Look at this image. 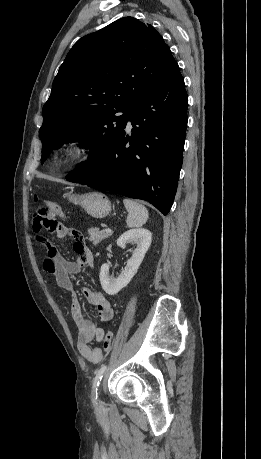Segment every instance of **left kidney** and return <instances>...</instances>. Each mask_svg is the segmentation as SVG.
Here are the masks:
<instances>
[{
    "instance_id": "obj_1",
    "label": "left kidney",
    "mask_w": 261,
    "mask_h": 459,
    "mask_svg": "<svg viewBox=\"0 0 261 459\" xmlns=\"http://www.w3.org/2000/svg\"><path fill=\"white\" fill-rule=\"evenodd\" d=\"M152 234L144 228L131 229L123 233L117 240V245L124 248L127 243L137 244L131 258L117 278L109 276V265L103 264L100 270V283L103 290L109 295L117 294L126 287L142 263L144 256L151 245Z\"/></svg>"
}]
</instances>
